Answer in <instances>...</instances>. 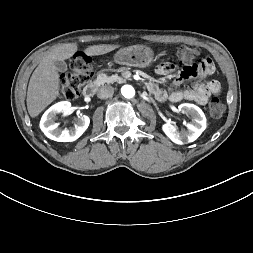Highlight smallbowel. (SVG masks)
I'll use <instances>...</instances> for the list:
<instances>
[{
	"label": "small bowel",
	"mask_w": 253,
	"mask_h": 253,
	"mask_svg": "<svg viewBox=\"0 0 253 253\" xmlns=\"http://www.w3.org/2000/svg\"><path fill=\"white\" fill-rule=\"evenodd\" d=\"M175 71L176 66L170 63L161 64L155 69L156 74L159 76H166ZM180 71V75L172 82L174 87L188 82L191 78L212 74L214 72V62L210 59L204 61L201 58H196L190 64L182 65ZM147 87L160 101L169 100L178 103L188 100L199 105H205L212 95L218 94L220 91V85L214 80L196 83L191 89L168 91L161 88L156 80L151 79L148 81Z\"/></svg>",
	"instance_id": "c3829d8e"
}]
</instances>
